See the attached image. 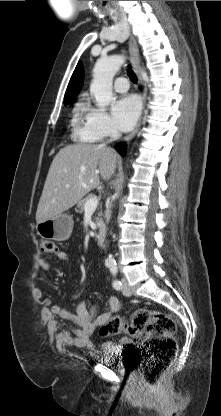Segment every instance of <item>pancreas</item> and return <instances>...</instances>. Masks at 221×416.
Wrapping results in <instances>:
<instances>
[{
  "label": "pancreas",
  "mask_w": 221,
  "mask_h": 416,
  "mask_svg": "<svg viewBox=\"0 0 221 416\" xmlns=\"http://www.w3.org/2000/svg\"><path fill=\"white\" fill-rule=\"evenodd\" d=\"M93 197H95V195H94V194H90V195H88L87 197H85L84 199H81V200L78 202V204H77V209H76V212L83 213L85 203H86L89 199H91V198H93ZM101 216H102V211H100V212L98 213V217H96V218H95L97 225H99L100 223H102V222H103V221H102Z\"/></svg>",
  "instance_id": "1"
}]
</instances>
